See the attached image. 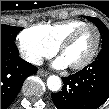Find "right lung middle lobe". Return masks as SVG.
Instances as JSON below:
<instances>
[{
	"label": "right lung middle lobe",
	"mask_w": 109,
	"mask_h": 109,
	"mask_svg": "<svg viewBox=\"0 0 109 109\" xmlns=\"http://www.w3.org/2000/svg\"><path fill=\"white\" fill-rule=\"evenodd\" d=\"M21 30L22 28L19 27L1 24V42L16 46L15 44L16 34Z\"/></svg>",
	"instance_id": "dd1d6c3e"
}]
</instances>
